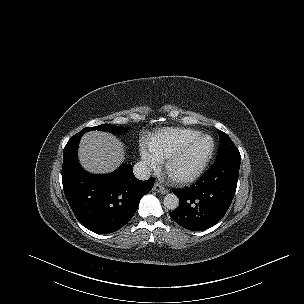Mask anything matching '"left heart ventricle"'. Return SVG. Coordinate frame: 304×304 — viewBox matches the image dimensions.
I'll list each match as a JSON object with an SVG mask.
<instances>
[{
  "mask_svg": "<svg viewBox=\"0 0 304 304\" xmlns=\"http://www.w3.org/2000/svg\"><path fill=\"white\" fill-rule=\"evenodd\" d=\"M211 147L209 139L195 144L174 166L175 173L183 174L194 170L206 157Z\"/></svg>",
  "mask_w": 304,
  "mask_h": 304,
  "instance_id": "b2bd125f",
  "label": "left heart ventricle"
}]
</instances>
